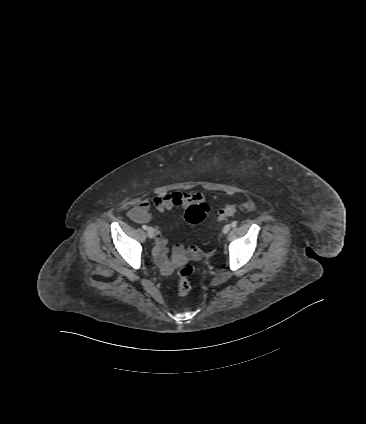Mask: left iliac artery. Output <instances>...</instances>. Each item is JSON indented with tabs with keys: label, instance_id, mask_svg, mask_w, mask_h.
Instances as JSON below:
<instances>
[{
	"label": "left iliac artery",
	"instance_id": "left-iliac-artery-1",
	"mask_svg": "<svg viewBox=\"0 0 366 424\" xmlns=\"http://www.w3.org/2000/svg\"><path fill=\"white\" fill-rule=\"evenodd\" d=\"M231 226H232V227H236V226H237V222L233 221V222L231 223Z\"/></svg>",
	"mask_w": 366,
	"mask_h": 424
}]
</instances>
